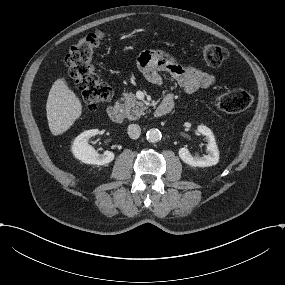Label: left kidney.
Instances as JSON below:
<instances>
[{"mask_svg":"<svg viewBox=\"0 0 285 285\" xmlns=\"http://www.w3.org/2000/svg\"><path fill=\"white\" fill-rule=\"evenodd\" d=\"M198 132L205 135L208 139L207 152L208 154L197 158L193 157L187 148L179 149V157L183 162L194 167H209L216 165L219 162V150L215 141L214 134L211 129L205 125H199Z\"/></svg>","mask_w":285,"mask_h":285,"instance_id":"obj_1","label":"left kidney"}]
</instances>
